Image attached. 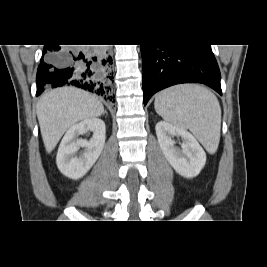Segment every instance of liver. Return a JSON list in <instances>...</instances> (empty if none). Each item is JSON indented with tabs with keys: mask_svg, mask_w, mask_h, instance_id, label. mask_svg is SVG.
Returning <instances> with one entry per match:
<instances>
[{
	"mask_svg": "<svg viewBox=\"0 0 267 267\" xmlns=\"http://www.w3.org/2000/svg\"><path fill=\"white\" fill-rule=\"evenodd\" d=\"M104 107L90 93L74 87L54 89L37 104V117L45 149L51 153L63 134L77 122L96 118Z\"/></svg>",
	"mask_w": 267,
	"mask_h": 267,
	"instance_id": "6515ba94",
	"label": "liver"
}]
</instances>
